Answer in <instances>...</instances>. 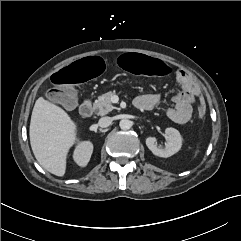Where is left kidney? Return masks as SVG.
Listing matches in <instances>:
<instances>
[{
    "label": "left kidney",
    "instance_id": "1",
    "mask_svg": "<svg viewBox=\"0 0 241 241\" xmlns=\"http://www.w3.org/2000/svg\"><path fill=\"white\" fill-rule=\"evenodd\" d=\"M167 135V144L164 148H158L155 137H147L146 145L149 150L159 157H170L177 153L182 146V138L178 130L174 128H167L165 130Z\"/></svg>",
    "mask_w": 241,
    "mask_h": 241
}]
</instances>
